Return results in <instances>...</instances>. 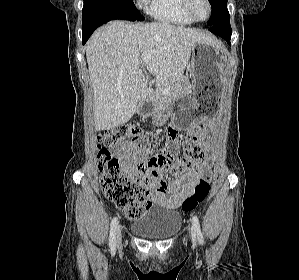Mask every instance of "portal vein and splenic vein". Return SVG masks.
<instances>
[{
	"instance_id": "portal-vein-and-splenic-vein-1",
	"label": "portal vein and splenic vein",
	"mask_w": 299,
	"mask_h": 280,
	"mask_svg": "<svg viewBox=\"0 0 299 280\" xmlns=\"http://www.w3.org/2000/svg\"><path fill=\"white\" fill-rule=\"evenodd\" d=\"M152 53H153L152 51H147V52L143 53L141 55V61L148 62L152 57ZM169 91H170V88L167 87V88L161 90V93L167 94Z\"/></svg>"
}]
</instances>
